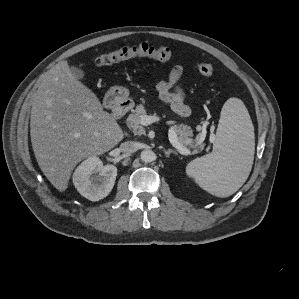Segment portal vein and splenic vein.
<instances>
[{
  "label": "portal vein and splenic vein",
  "instance_id": "obj_1",
  "mask_svg": "<svg viewBox=\"0 0 299 299\" xmlns=\"http://www.w3.org/2000/svg\"><path fill=\"white\" fill-rule=\"evenodd\" d=\"M160 118L157 115H143L141 116V124L144 126H148L156 121H158ZM168 137L169 141L173 144L175 149L182 155H190L191 151L190 149L182 146L178 140H177V135L173 127H171L168 131Z\"/></svg>",
  "mask_w": 299,
  "mask_h": 299
}]
</instances>
